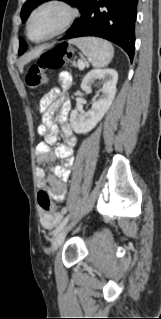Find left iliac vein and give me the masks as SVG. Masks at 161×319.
I'll list each match as a JSON object with an SVG mask.
<instances>
[{"instance_id":"4c4485c4","label":"left iliac vein","mask_w":161,"mask_h":319,"mask_svg":"<svg viewBox=\"0 0 161 319\" xmlns=\"http://www.w3.org/2000/svg\"><path fill=\"white\" fill-rule=\"evenodd\" d=\"M72 224L64 227L59 233L56 234L52 241V251L55 252L58 247L62 244L67 232L70 230Z\"/></svg>"}]
</instances>
